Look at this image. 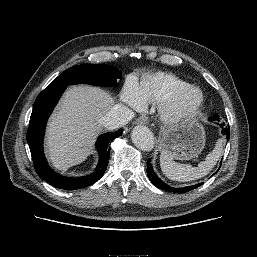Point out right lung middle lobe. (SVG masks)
Returning a JSON list of instances; mask_svg holds the SVG:
<instances>
[{
    "label": "right lung middle lobe",
    "mask_w": 257,
    "mask_h": 257,
    "mask_svg": "<svg viewBox=\"0 0 257 257\" xmlns=\"http://www.w3.org/2000/svg\"><path fill=\"white\" fill-rule=\"evenodd\" d=\"M121 76L119 70L108 65L82 64L67 69L54 79L46 89L81 83L110 87L115 86Z\"/></svg>",
    "instance_id": "obj_1"
}]
</instances>
